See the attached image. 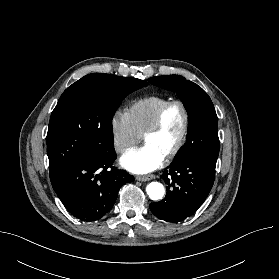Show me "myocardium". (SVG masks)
<instances>
[{"mask_svg": "<svg viewBox=\"0 0 279 279\" xmlns=\"http://www.w3.org/2000/svg\"><path fill=\"white\" fill-rule=\"evenodd\" d=\"M174 105H178L182 110L183 127H182V131H181V134H180V137H179L177 143L171 149V151L165 156V158H167V159H171V158L175 157L180 152V150L182 149V147L184 146V144L186 142L188 131H189V125H190V115H189V111H188L186 104L182 100H178V99L167 101L165 104H163L159 108V110L157 111V113L155 115L153 122L143 133V140L145 141L149 135L157 132L160 129V127L162 126V122H163L165 113L167 112V110L170 107H172Z\"/></svg>", "mask_w": 279, "mask_h": 279, "instance_id": "myocardium-1", "label": "myocardium"}]
</instances>
